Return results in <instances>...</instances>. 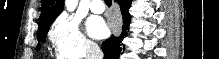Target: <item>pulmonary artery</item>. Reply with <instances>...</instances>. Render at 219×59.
<instances>
[{"mask_svg":"<svg viewBox=\"0 0 219 59\" xmlns=\"http://www.w3.org/2000/svg\"><path fill=\"white\" fill-rule=\"evenodd\" d=\"M89 7L93 13L97 14L103 13L105 10V6L101 0H91Z\"/></svg>","mask_w":219,"mask_h":59,"instance_id":"e3ab8cb5","label":"pulmonary artery"}]
</instances>
